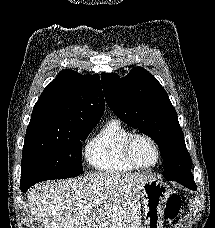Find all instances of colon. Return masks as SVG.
<instances>
[{"instance_id": "colon-1", "label": "colon", "mask_w": 215, "mask_h": 228, "mask_svg": "<svg viewBox=\"0 0 215 228\" xmlns=\"http://www.w3.org/2000/svg\"><path fill=\"white\" fill-rule=\"evenodd\" d=\"M182 200L181 197L177 194H172L166 201L164 208V215L166 219H174L181 208Z\"/></svg>"}]
</instances>
